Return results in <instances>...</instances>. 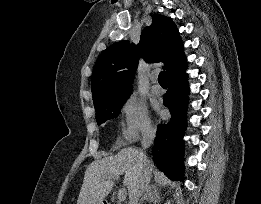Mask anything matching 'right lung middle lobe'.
Listing matches in <instances>:
<instances>
[{
    "mask_svg": "<svg viewBox=\"0 0 261 204\" xmlns=\"http://www.w3.org/2000/svg\"><path fill=\"white\" fill-rule=\"evenodd\" d=\"M129 95L130 94L123 96L114 102L94 106L96 110V120L98 125H101L111 118H116Z\"/></svg>",
    "mask_w": 261,
    "mask_h": 204,
    "instance_id": "right-lung-middle-lobe-1",
    "label": "right lung middle lobe"
}]
</instances>
